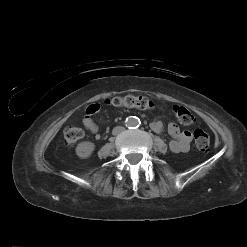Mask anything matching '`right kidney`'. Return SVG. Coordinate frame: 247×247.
Wrapping results in <instances>:
<instances>
[{"label": "right kidney", "mask_w": 247, "mask_h": 247, "mask_svg": "<svg viewBox=\"0 0 247 247\" xmlns=\"http://www.w3.org/2000/svg\"><path fill=\"white\" fill-rule=\"evenodd\" d=\"M95 149V145L92 142H81L76 147V154L82 159L90 157Z\"/></svg>", "instance_id": "ca27d5eb"}]
</instances>
